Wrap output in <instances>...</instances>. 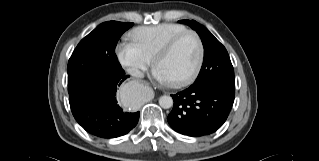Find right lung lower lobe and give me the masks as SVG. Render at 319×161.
I'll list each match as a JSON object with an SVG mask.
<instances>
[{
    "mask_svg": "<svg viewBox=\"0 0 319 161\" xmlns=\"http://www.w3.org/2000/svg\"><path fill=\"white\" fill-rule=\"evenodd\" d=\"M119 65L79 85L69 95L75 120L90 134L115 138L127 134L139 120V112H125L119 106L116 91L128 78Z\"/></svg>",
    "mask_w": 319,
    "mask_h": 161,
    "instance_id": "obj_1",
    "label": "right lung lower lobe"
}]
</instances>
